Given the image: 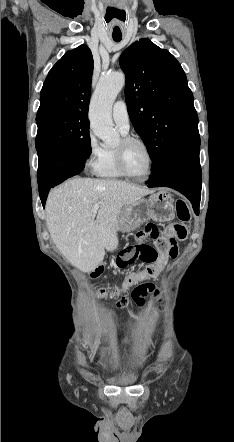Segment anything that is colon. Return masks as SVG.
I'll list each match as a JSON object with an SVG mask.
<instances>
[{
    "label": "colon",
    "instance_id": "1",
    "mask_svg": "<svg viewBox=\"0 0 234 442\" xmlns=\"http://www.w3.org/2000/svg\"><path fill=\"white\" fill-rule=\"evenodd\" d=\"M176 213L180 221L179 223L171 224L164 230H159L154 224H148L145 229L138 234L140 240L151 237L154 240V246L141 242L129 246L119 253L116 259L118 269H124L136 260H141L150 265L144 270L132 274L120 288L110 293L111 297L116 298V305L118 307H124L129 302V299L123 296L122 292L140 284L146 279L156 277L161 270V266L156 263L158 256L171 252L177 240L183 241L187 238L188 229L186 223L191 219V212L185 201L181 199L177 200ZM146 293V289L143 285H140L133 290L131 296L137 304H141L143 302L142 296ZM99 295L105 297L107 293L105 290H101Z\"/></svg>",
    "mask_w": 234,
    "mask_h": 442
}]
</instances>
